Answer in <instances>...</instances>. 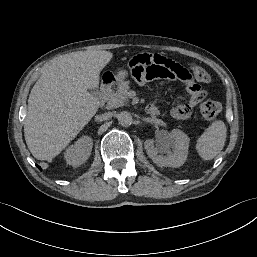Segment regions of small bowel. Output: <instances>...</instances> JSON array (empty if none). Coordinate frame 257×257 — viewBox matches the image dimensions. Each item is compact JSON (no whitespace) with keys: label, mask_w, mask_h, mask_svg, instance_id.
Wrapping results in <instances>:
<instances>
[{"label":"small bowel","mask_w":257,"mask_h":257,"mask_svg":"<svg viewBox=\"0 0 257 257\" xmlns=\"http://www.w3.org/2000/svg\"><path fill=\"white\" fill-rule=\"evenodd\" d=\"M127 70L138 85L161 78L171 79L180 84L182 91L189 94V99L171 108V114L176 119H189L197 102L204 96V93L195 84L197 73L194 69L184 64L178 65L175 60L168 59L161 54L152 56L148 52H141L128 61ZM149 105L157 109L155 102H151Z\"/></svg>","instance_id":"obj_1"}]
</instances>
